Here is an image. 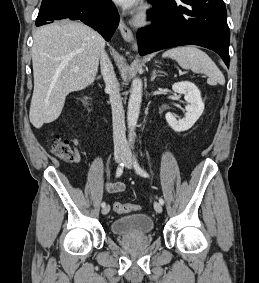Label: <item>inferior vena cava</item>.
<instances>
[{"instance_id": "602c4592", "label": "inferior vena cava", "mask_w": 259, "mask_h": 283, "mask_svg": "<svg viewBox=\"0 0 259 283\" xmlns=\"http://www.w3.org/2000/svg\"><path fill=\"white\" fill-rule=\"evenodd\" d=\"M101 73L109 93L113 117V140L114 147L127 149L128 143L125 136V117L122 106V99L119 93V84L113 69V65L104 51L101 52Z\"/></svg>"}]
</instances>
